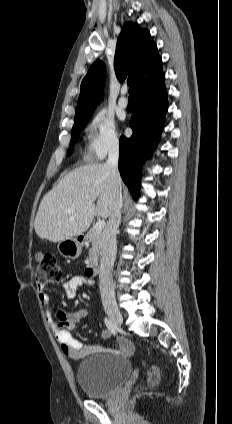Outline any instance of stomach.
<instances>
[{"instance_id": "1", "label": "stomach", "mask_w": 232, "mask_h": 424, "mask_svg": "<svg viewBox=\"0 0 232 424\" xmlns=\"http://www.w3.org/2000/svg\"><path fill=\"white\" fill-rule=\"evenodd\" d=\"M57 248L65 258L76 259L82 252V238L77 236L60 241Z\"/></svg>"}]
</instances>
